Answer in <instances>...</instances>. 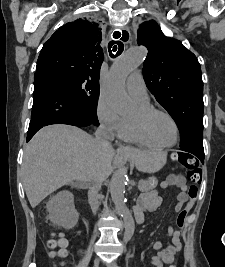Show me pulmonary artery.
Wrapping results in <instances>:
<instances>
[{"label": "pulmonary artery", "instance_id": "obj_1", "mask_svg": "<svg viewBox=\"0 0 225 267\" xmlns=\"http://www.w3.org/2000/svg\"><path fill=\"white\" fill-rule=\"evenodd\" d=\"M126 88L129 94L138 102H146L149 100L147 89L143 76L138 71L133 72L126 81Z\"/></svg>", "mask_w": 225, "mask_h": 267}]
</instances>
